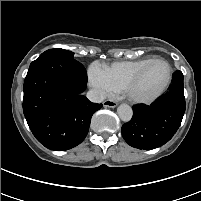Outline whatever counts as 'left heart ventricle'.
Wrapping results in <instances>:
<instances>
[{"label": "left heart ventricle", "mask_w": 201, "mask_h": 201, "mask_svg": "<svg viewBox=\"0 0 201 201\" xmlns=\"http://www.w3.org/2000/svg\"><path fill=\"white\" fill-rule=\"evenodd\" d=\"M168 67L163 62H155L148 67L134 88L139 96H149L156 92L166 81Z\"/></svg>", "instance_id": "obj_1"}]
</instances>
